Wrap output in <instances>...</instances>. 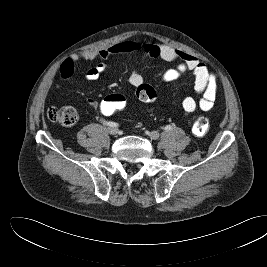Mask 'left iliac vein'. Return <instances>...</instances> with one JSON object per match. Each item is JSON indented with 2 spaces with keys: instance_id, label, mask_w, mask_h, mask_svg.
I'll use <instances>...</instances> for the list:
<instances>
[{
  "instance_id": "1",
  "label": "left iliac vein",
  "mask_w": 267,
  "mask_h": 267,
  "mask_svg": "<svg viewBox=\"0 0 267 267\" xmlns=\"http://www.w3.org/2000/svg\"><path fill=\"white\" fill-rule=\"evenodd\" d=\"M148 136H149V138H151L153 140H157V139H159L160 134L157 131H151L148 133Z\"/></svg>"
}]
</instances>
